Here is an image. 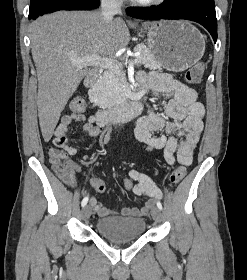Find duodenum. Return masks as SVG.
I'll list each match as a JSON object with an SVG mask.
<instances>
[{
  "mask_svg": "<svg viewBox=\"0 0 247 280\" xmlns=\"http://www.w3.org/2000/svg\"><path fill=\"white\" fill-rule=\"evenodd\" d=\"M99 74L92 72L86 79V86L89 88L94 87L98 80ZM139 93H132L128 99L120 105L99 110L96 113V120L99 125L104 126L111 122H126L131 120L142 110V103Z\"/></svg>",
  "mask_w": 247,
  "mask_h": 280,
  "instance_id": "obj_1",
  "label": "duodenum"
}]
</instances>
